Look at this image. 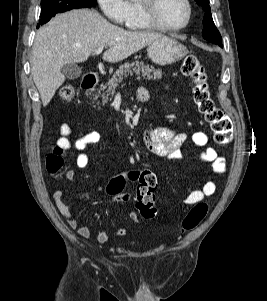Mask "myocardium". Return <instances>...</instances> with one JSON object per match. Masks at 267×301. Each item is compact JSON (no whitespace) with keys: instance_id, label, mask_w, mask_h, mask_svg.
<instances>
[{"instance_id":"f54148a6","label":"myocardium","mask_w":267,"mask_h":301,"mask_svg":"<svg viewBox=\"0 0 267 301\" xmlns=\"http://www.w3.org/2000/svg\"><path fill=\"white\" fill-rule=\"evenodd\" d=\"M187 9L185 21L176 26L165 24L158 15V5L160 0H139V6L144 19L154 28L163 31H179L186 28L192 18V6L189 0H183Z\"/></svg>"}]
</instances>
